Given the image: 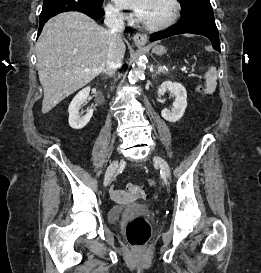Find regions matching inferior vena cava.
Listing matches in <instances>:
<instances>
[{"label":"inferior vena cava","mask_w":261,"mask_h":273,"mask_svg":"<svg viewBox=\"0 0 261 273\" xmlns=\"http://www.w3.org/2000/svg\"><path fill=\"white\" fill-rule=\"evenodd\" d=\"M105 25L109 28L111 40L109 44V51L106 61V69L113 73L122 66L123 55L120 51L121 33L124 31L123 16L113 9H106L105 11Z\"/></svg>","instance_id":"inferior-vena-cava-1"}]
</instances>
